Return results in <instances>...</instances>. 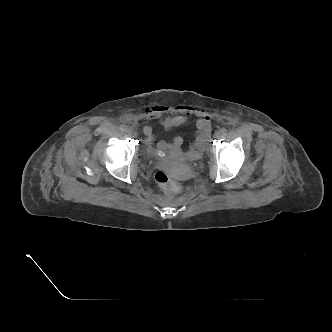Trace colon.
I'll use <instances>...</instances> for the list:
<instances>
[{"instance_id":"5ec220e1","label":"colon","mask_w":332,"mask_h":332,"mask_svg":"<svg viewBox=\"0 0 332 332\" xmlns=\"http://www.w3.org/2000/svg\"><path fill=\"white\" fill-rule=\"evenodd\" d=\"M155 180L157 184L168 193H175L179 191L180 189V183L175 180L173 177H171L168 173L165 171H158L155 174Z\"/></svg>"}]
</instances>
